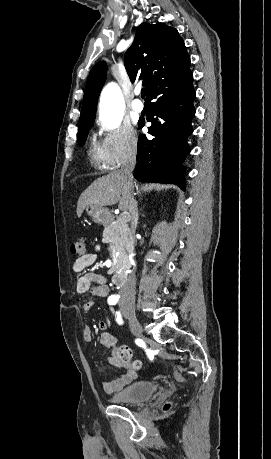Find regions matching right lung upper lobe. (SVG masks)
Here are the masks:
<instances>
[{
	"mask_svg": "<svg viewBox=\"0 0 271 459\" xmlns=\"http://www.w3.org/2000/svg\"><path fill=\"white\" fill-rule=\"evenodd\" d=\"M124 63L132 82L143 79L147 98L172 76L190 71V58L184 41L175 28L164 23H142L135 40L126 51ZM106 79V63L91 70L85 88L80 121L95 119L98 96Z\"/></svg>",
	"mask_w": 271,
	"mask_h": 459,
	"instance_id": "right-lung-upper-lobe-1",
	"label": "right lung upper lobe"
}]
</instances>
